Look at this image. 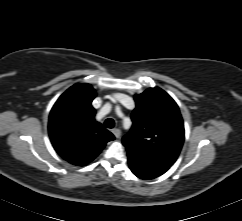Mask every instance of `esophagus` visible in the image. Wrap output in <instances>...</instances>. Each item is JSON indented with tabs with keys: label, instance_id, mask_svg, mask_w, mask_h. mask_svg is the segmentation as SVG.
Segmentation results:
<instances>
[{
	"label": "esophagus",
	"instance_id": "obj_1",
	"mask_svg": "<svg viewBox=\"0 0 242 221\" xmlns=\"http://www.w3.org/2000/svg\"><path fill=\"white\" fill-rule=\"evenodd\" d=\"M112 133L114 134V136L116 138H120V136H121V130L120 129L115 128V129L112 130Z\"/></svg>",
	"mask_w": 242,
	"mask_h": 221
}]
</instances>
